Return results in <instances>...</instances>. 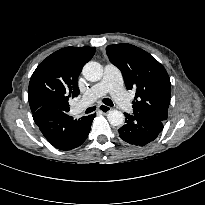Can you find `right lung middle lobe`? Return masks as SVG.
I'll return each instance as SVG.
<instances>
[{
  "label": "right lung middle lobe",
  "instance_id": "1",
  "mask_svg": "<svg viewBox=\"0 0 205 205\" xmlns=\"http://www.w3.org/2000/svg\"><path fill=\"white\" fill-rule=\"evenodd\" d=\"M54 105L61 110H67L69 107L68 100L65 96L57 97L54 101Z\"/></svg>",
  "mask_w": 205,
  "mask_h": 205
}]
</instances>
